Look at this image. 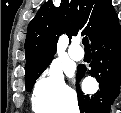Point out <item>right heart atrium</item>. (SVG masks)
I'll list each match as a JSON object with an SVG mask.
<instances>
[{"label":"right heart atrium","mask_w":121,"mask_h":113,"mask_svg":"<svg viewBox=\"0 0 121 113\" xmlns=\"http://www.w3.org/2000/svg\"><path fill=\"white\" fill-rule=\"evenodd\" d=\"M33 102L47 113H63L74 109L75 95L65 83L63 73L49 67L35 84Z\"/></svg>","instance_id":"1"}]
</instances>
